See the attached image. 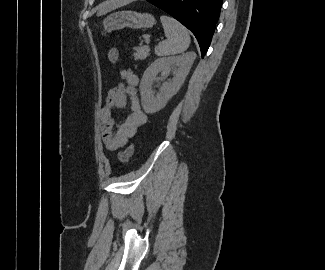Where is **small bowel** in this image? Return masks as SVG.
Listing matches in <instances>:
<instances>
[{"mask_svg":"<svg viewBox=\"0 0 325 270\" xmlns=\"http://www.w3.org/2000/svg\"><path fill=\"white\" fill-rule=\"evenodd\" d=\"M124 81L111 88L101 112V133L104 146L111 151L127 144L136 132L146 124L147 116L141 109L136 96L138 77L130 72L123 73ZM130 102V113L118 126L113 118L114 109L125 108Z\"/></svg>","mask_w":325,"mask_h":270,"instance_id":"obj_1","label":"small bowel"}]
</instances>
